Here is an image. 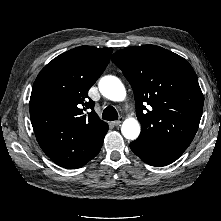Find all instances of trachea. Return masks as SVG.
Instances as JSON below:
<instances>
[{"label": "trachea", "instance_id": "3493384b", "mask_svg": "<svg viewBox=\"0 0 221 221\" xmlns=\"http://www.w3.org/2000/svg\"><path fill=\"white\" fill-rule=\"evenodd\" d=\"M102 118L105 120H110V121L117 120L118 113L114 107L108 106L104 109Z\"/></svg>", "mask_w": 221, "mask_h": 221}]
</instances>
